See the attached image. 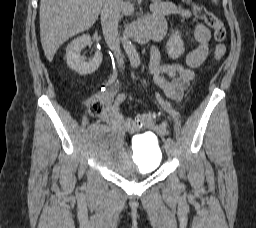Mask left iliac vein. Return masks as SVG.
<instances>
[{"label": "left iliac vein", "instance_id": "1", "mask_svg": "<svg viewBox=\"0 0 256 228\" xmlns=\"http://www.w3.org/2000/svg\"><path fill=\"white\" fill-rule=\"evenodd\" d=\"M164 148H165V151L167 152V154L170 155L173 153V143L166 140L164 143Z\"/></svg>", "mask_w": 256, "mask_h": 228}]
</instances>
